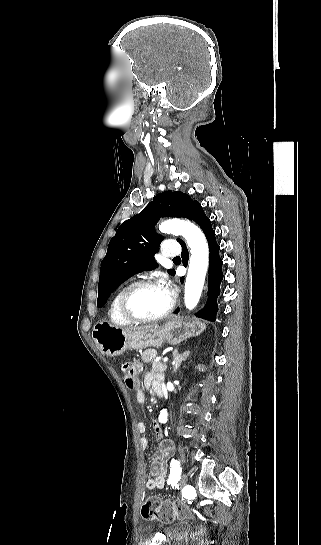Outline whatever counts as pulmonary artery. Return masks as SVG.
I'll return each instance as SVG.
<instances>
[{
    "mask_svg": "<svg viewBox=\"0 0 321 545\" xmlns=\"http://www.w3.org/2000/svg\"><path fill=\"white\" fill-rule=\"evenodd\" d=\"M166 252L164 253L165 259H173L174 257H177L180 253V242L179 241H167L166 245Z\"/></svg>",
    "mask_w": 321,
    "mask_h": 545,
    "instance_id": "pulmonary-artery-1",
    "label": "pulmonary artery"
}]
</instances>
